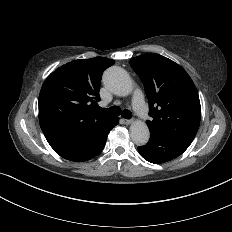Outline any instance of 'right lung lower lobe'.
<instances>
[{
    "mask_svg": "<svg viewBox=\"0 0 232 232\" xmlns=\"http://www.w3.org/2000/svg\"><path fill=\"white\" fill-rule=\"evenodd\" d=\"M118 121V117L112 116L106 121H97L79 131L44 135L50 146L61 157L70 161L83 162L102 151L109 132L118 124Z\"/></svg>",
    "mask_w": 232,
    "mask_h": 232,
    "instance_id": "98d812e1",
    "label": "right lung lower lobe"
}]
</instances>
